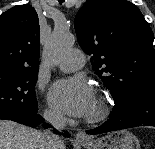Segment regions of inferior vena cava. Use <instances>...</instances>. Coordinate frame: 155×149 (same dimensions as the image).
<instances>
[{
    "label": "inferior vena cava",
    "instance_id": "inferior-vena-cava-1",
    "mask_svg": "<svg viewBox=\"0 0 155 149\" xmlns=\"http://www.w3.org/2000/svg\"><path fill=\"white\" fill-rule=\"evenodd\" d=\"M45 120L53 125L57 130H62L65 127V117L58 112L44 113ZM44 149H60L63 146L62 139L55 135L52 131L47 130L43 136Z\"/></svg>",
    "mask_w": 155,
    "mask_h": 149
}]
</instances>
